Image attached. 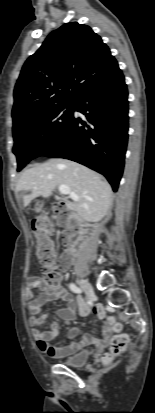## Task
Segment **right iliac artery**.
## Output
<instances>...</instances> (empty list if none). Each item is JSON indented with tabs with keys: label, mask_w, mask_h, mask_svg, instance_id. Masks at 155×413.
I'll return each mask as SVG.
<instances>
[{
	"label": "right iliac artery",
	"mask_w": 155,
	"mask_h": 413,
	"mask_svg": "<svg viewBox=\"0 0 155 413\" xmlns=\"http://www.w3.org/2000/svg\"><path fill=\"white\" fill-rule=\"evenodd\" d=\"M69 288L71 289V291L72 292H74V293H82L83 292V290L80 288V287H78L76 284H74V283H70L69 284Z\"/></svg>",
	"instance_id": "obj_1"
}]
</instances>
